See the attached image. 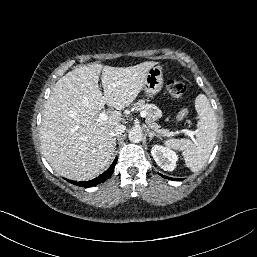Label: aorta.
Wrapping results in <instances>:
<instances>
[{
    "label": "aorta",
    "instance_id": "aorta-1",
    "mask_svg": "<svg viewBox=\"0 0 257 257\" xmlns=\"http://www.w3.org/2000/svg\"><path fill=\"white\" fill-rule=\"evenodd\" d=\"M128 137L131 142L138 143V142L142 141V139H143V132L140 128H133L129 132Z\"/></svg>",
    "mask_w": 257,
    "mask_h": 257
}]
</instances>
